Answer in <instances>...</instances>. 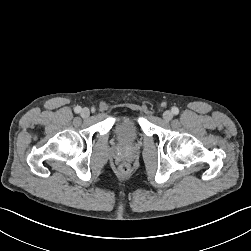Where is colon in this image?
Returning <instances> with one entry per match:
<instances>
[{
	"label": "colon",
	"instance_id": "5ec220e1",
	"mask_svg": "<svg viewBox=\"0 0 251 251\" xmlns=\"http://www.w3.org/2000/svg\"><path fill=\"white\" fill-rule=\"evenodd\" d=\"M127 170H128V166L126 164L123 163V164L120 165V171L121 172H126Z\"/></svg>",
	"mask_w": 251,
	"mask_h": 251
}]
</instances>
